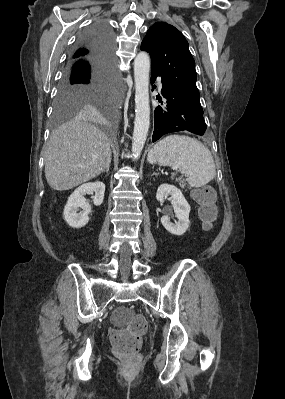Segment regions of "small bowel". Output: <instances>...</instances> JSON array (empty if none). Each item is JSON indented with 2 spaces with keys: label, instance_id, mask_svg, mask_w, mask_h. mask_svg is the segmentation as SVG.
I'll return each mask as SVG.
<instances>
[{
  "label": "small bowel",
  "instance_id": "1",
  "mask_svg": "<svg viewBox=\"0 0 285 399\" xmlns=\"http://www.w3.org/2000/svg\"><path fill=\"white\" fill-rule=\"evenodd\" d=\"M207 188H208V190H209L211 193H213L212 188H210V187H207Z\"/></svg>",
  "mask_w": 285,
  "mask_h": 399
}]
</instances>
